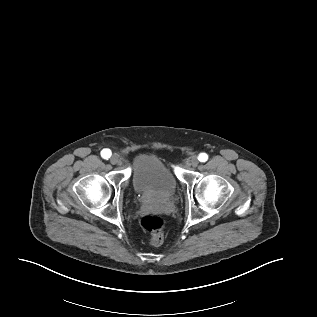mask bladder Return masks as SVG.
<instances>
[{"label": "bladder", "instance_id": "obj_1", "mask_svg": "<svg viewBox=\"0 0 317 317\" xmlns=\"http://www.w3.org/2000/svg\"><path fill=\"white\" fill-rule=\"evenodd\" d=\"M132 185L147 203L170 199L177 190V179L169 165L155 155L142 154L133 163Z\"/></svg>", "mask_w": 317, "mask_h": 317}]
</instances>
